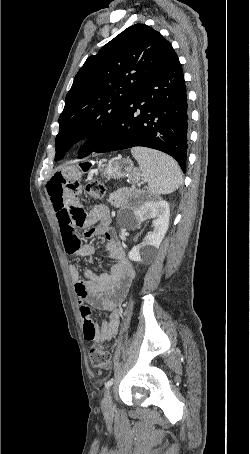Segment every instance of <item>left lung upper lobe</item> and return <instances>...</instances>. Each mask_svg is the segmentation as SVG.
Returning a JSON list of instances; mask_svg holds the SVG:
<instances>
[{"instance_id":"obj_1","label":"left lung upper lobe","mask_w":250,"mask_h":454,"mask_svg":"<svg viewBox=\"0 0 250 454\" xmlns=\"http://www.w3.org/2000/svg\"><path fill=\"white\" fill-rule=\"evenodd\" d=\"M174 52L158 31L145 24L128 27L96 55L87 58L74 78L59 117L56 158L89 134L80 157L90 154L111 132L141 85Z\"/></svg>"}]
</instances>
